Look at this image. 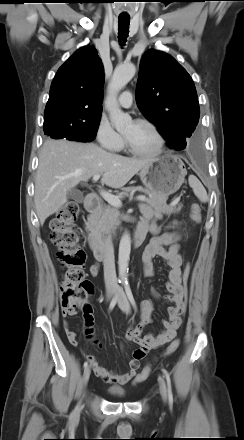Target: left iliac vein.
I'll use <instances>...</instances> for the list:
<instances>
[{
	"mask_svg": "<svg viewBox=\"0 0 244 440\" xmlns=\"http://www.w3.org/2000/svg\"><path fill=\"white\" fill-rule=\"evenodd\" d=\"M116 290H117V295H118V306H119V308L124 313L129 314L130 311H131V308H130V304L128 302V299L126 297L125 292L123 291V289L120 286H118L116 288ZM158 381H159L160 394H161L162 400L164 402H166V400H167V389H166L165 381H164V379L161 376L158 378Z\"/></svg>",
	"mask_w": 244,
	"mask_h": 440,
	"instance_id": "left-iliac-vein-1",
	"label": "left iliac vein"
}]
</instances>
